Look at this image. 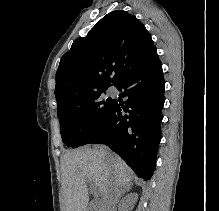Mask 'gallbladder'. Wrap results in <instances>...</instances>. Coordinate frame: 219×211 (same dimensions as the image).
<instances>
[{"label": "gallbladder", "instance_id": "gallbladder-1", "mask_svg": "<svg viewBox=\"0 0 219 211\" xmlns=\"http://www.w3.org/2000/svg\"><path fill=\"white\" fill-rule=\"evenodd\" d=\"M88 211H97V209L94 205H90V209H88Z\"/></svg>", "mask_w": 219, "mask_h": 211}]
</instances>
